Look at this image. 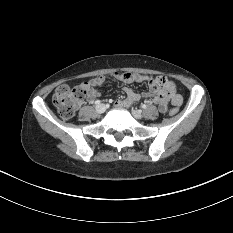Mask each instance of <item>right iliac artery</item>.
<instances>
[{
  "instance_id": "82829eb1",
  "label": "right iliac artery",
  "mask_w": 233,
  "mask_h": 233,
  "mask_svg": "<svg viewBox=\"0 0 233 233\" xmlns=\"http://www.w3.org/2000/svg\"><path fill=\"white\" fill-rule=\"evenodd\" d=\"M100 103H101L100 100L95 101V104H96V105H99Z\"/></svg>"
}]
</instances>
